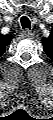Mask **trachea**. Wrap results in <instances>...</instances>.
Masks as SVG:
<instances>
[{"mask_svg": "<svg viewBox=\"0 0 53 120\" xmlns=\"http://www.w3.org/2000/svg\"><path fill=\"white\" fill-rule=\"evenodd\" d=\"M20 22H21V26L23 29H26V28L31 29V22L27 17H25V16L22 17L20 19Z\"/></svg>", "mask_w": 53, "mask_h": 120, "instance_id": "3493384b", "label": "trachea"}]
</instances>
